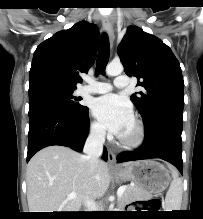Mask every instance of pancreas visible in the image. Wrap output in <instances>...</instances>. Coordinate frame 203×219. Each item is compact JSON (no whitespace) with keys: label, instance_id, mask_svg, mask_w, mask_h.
<instances>
[{"label":"pancreas","instance_id":"cf45deb5","mask_svg":"<svg viewBox=\"0 0 203 219\" xmlns=\"http://www.w3.org/2000/svg\"><path fill=\"white\" fill-rule=\"evenodd\" d=\"M126 190L121 197V204H128L135 200H141L144 198H149L142 189L138 188L137 186H125Z\"/></svg>","mask_w":203,"mask_h":219}]
</instances>
